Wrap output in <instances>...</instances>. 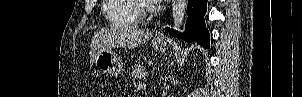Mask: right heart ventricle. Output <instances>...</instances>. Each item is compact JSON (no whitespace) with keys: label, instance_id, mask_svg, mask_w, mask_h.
Wrapping results in <instances>:
<instances>
[{"label":"right heart ventricle","instance_id":"right-heart-ventricle-1","mask_svg":"<svg viewBox=\"0 0 302 97\" xmlns=\"http://www.w3.org/2000/svg\"><path fill=\"white\" fill-rule=\"evenodd\" d=\"M103 12L111 25L131 27L139 23L134 0H105Z\"/></svg>","mask_w":302,"mask_h":97}]
</instances>
